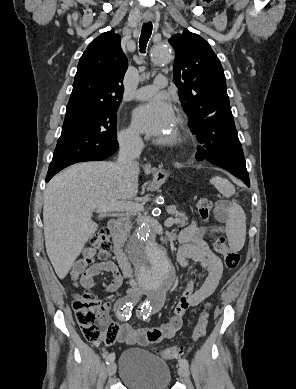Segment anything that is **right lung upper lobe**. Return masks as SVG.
<instances>
[{
    "mask_svg": "<svg viewBox=\"0 0 296 389\" xmlns=\"http://www.w3.org/2000/svg\"><path fill=\"white\" fill-rule=\"evenodd\" d=\"M128 63L113 31L94 39L80 58L65 118L119 106Z\"/></svg>",
    "mask_w": 296,
    "mask_h": 389,
    "instance_id": "cb5924a9",
    "label": "right lung upper lobe"
}]
</instances>
